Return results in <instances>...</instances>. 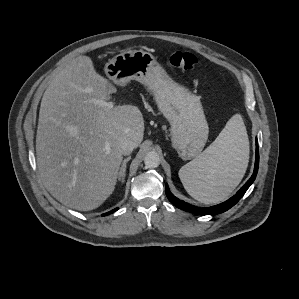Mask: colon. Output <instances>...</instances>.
I'll return each instance as SVG.
<instances>
[{
	"instance_id": "obj_1",
	"label": "colon",
	"mask_w": 299,
	"mask_h": 299,
	"mask_svg": "<svg viewBox=\"0 0 299 299\" xmlns=\"http://www.w3.org/2000/svg\"><path fill=\"white\" fill-rule=\"evenodd\" d=\"M167 61L171 66L181 68L183 70H191L198 63V59L194 54L179 50L172 52L167 57Z\"/></svg>"
}]
</instances>
